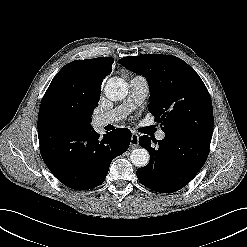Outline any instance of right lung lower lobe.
Here are the masks:
<instances>
[{
    "instance_id": "1",
    "label": "right lung lower lobe",
    "mask_w": 247,
    "mask_h": 247,
    "mask_svg": "<svg viewBox=\"0 0 247 247\" xmlns=\"http://www.w3.org/2000/svg\"><path fill=\"white\" fill-rule=\"evenodd\" d=\"M42 158L52 174L75 190L102 184L111 161L129 147L131 131L118 128L103 137L93 128L70 131L38 122Z\"/></svg>"
}]
</instances>
